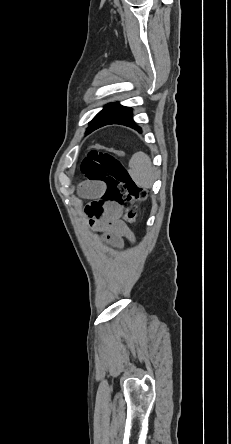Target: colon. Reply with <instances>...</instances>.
I'll use <instances>...</instances> for the list:
<instances>
[{
	"instance_id": "1",
	"label": "colon",
	"mask_w": 231,
	"mask_h": 444,
	"mask_svg": "<svg viewBox=\"0 0 231 444\" xmlns=\"http://www.w3.org/2000/svg\"><path fill=\"white\" fill-rule=\"evenodd\" d=\"M122 156L121 150L98 144L82 160L81 170L86 179L106 185L101 200L88 207L90 217L100 216L104 202H113L122 208L128 222L137 219V204L146 198L147 192L131 178L122 162Z\"/></svg>"
}]
</instances>
